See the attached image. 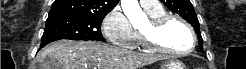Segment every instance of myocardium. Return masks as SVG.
<instances>
[{"instance_id":"myocardium-1","label":"myocardium","mask_w":246,"mask_h":69,"mask_svg":"<svg viewBox=\"0 0 246 69\" xmlns=\"http://www.w3.org/2000/svg\"><path fill=\"white\" fill-rule=\"evenodd\" d=\"M172 20H178L187 29L190 35V38H191V42H192V46L190 48L186 50H176L173 48L166 47L160 44L159 42H157L156 40H154V37L158 36L160 32L162 31V29L165 27V25L168 24ZM140 36H141L142 42L144 43L146 47L154 51L168 54V55H180V54L190 53L195 48V43H196L194 30L191 27V25L179 15L169 14V13L156 17V18H150L148 21L147 31L140 30Z\"/></svg>"}]
</instances>
